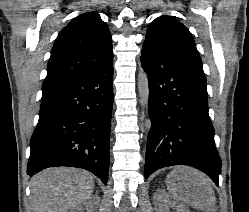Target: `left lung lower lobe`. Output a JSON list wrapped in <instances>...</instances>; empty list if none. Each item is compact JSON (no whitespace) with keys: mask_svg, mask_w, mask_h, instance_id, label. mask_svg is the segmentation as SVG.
Instances as JSON below:
<instances>
[{"mask_svg":"<svg viewBox=\"0 0 249 212\" xmlns=\"http://www.w3.org/2000/svg\"><path fill=\"white\" fill-rule=\"evenodd\" d=\"M149 79V117L145 178L173 165H188L206 173L218 185L221 159L208 114L206 77L160 53L142 52Z\"/></svg>","mask_w":249,"mask_h":212,"instance_id":"1","label":"left lung lower lobe"}]
</instances>
